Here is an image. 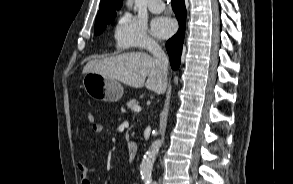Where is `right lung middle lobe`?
<instances>
[{"label": "right lung middle lobe", "mask_w": 293, "mask_h": 184, "mask_svg": "<svg viewBox=\"0 0 293 184\" xmlns=\"http://www.w3.org/2000/svg\"><path fill=\"white\" fill-rule=\"evenodd\" d=\"M109 23H111V22L95 26V35H100L105 30L106 25Z\"/></svg>", "instance_id": "1"}]
</instances>
